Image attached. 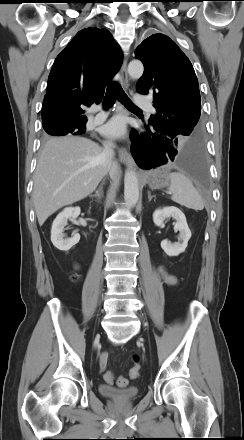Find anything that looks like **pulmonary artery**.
I'll list each match as a JSON object with an SVG mask.
<instances>
[{
	"instance_id": "pulmonary-artery-1",
	"label": "pulmonary artery",
	"mask_w": 244,
	"mask_h": 440,
	"mask_svg": "<svg viewBox=\"0 0 244 440\" xmlns=\"http://www.w3.org/2000/svg\"><path fill=\"white\" fill-rule=\"evenodd\" d=\"M135 103L137 106L143 107L150 112H154V108L150 100L144 95L137 94L135 96ZM95 110L98 111L97 115L95 116V120L97 122L103 121L106 117L105 111L101 110V108H96Z\"/></svg>"
}]
</instances>
